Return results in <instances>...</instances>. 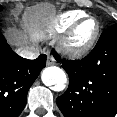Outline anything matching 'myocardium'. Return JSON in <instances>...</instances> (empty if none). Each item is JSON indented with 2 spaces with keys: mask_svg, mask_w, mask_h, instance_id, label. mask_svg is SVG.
I'll return each mask as SVG.
<instances>
[{
  "mask_svg": "<svg viewBox=\"0 0 117 117\" xmlns=\"http://www.w3.org/2000/svg\"><path fill=\"white\" fill-rule=\"evenodd\" d=\"M95 23L93 33L85 40L79 41L77 39V32L79 28L87 21ZM100 34V23L92 16H85L77 20L67 31L60 42L61 50L71 58H81L87 55L95 46Z\"/></svg>",
  "mask_w": 117,
  "mask_h": 117,
  "instance_id": "myocardium-1",
  "label": "myocardium"
}]
</instances>
